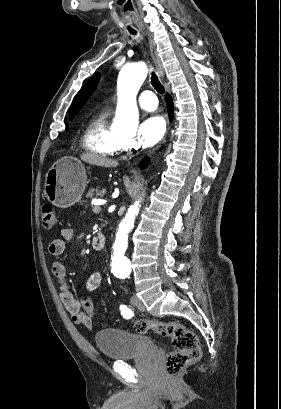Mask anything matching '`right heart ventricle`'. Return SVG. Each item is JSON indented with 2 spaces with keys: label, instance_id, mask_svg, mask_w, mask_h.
<instances>
[{
  "label": "right heart ventricle",
  "instance_id": "1",
  "mask_svg": "<svg viewBox=\"0 0 281 409\" xmlns=\"http://www.w3.org/2000/svg\"><path fill=\"white\" fill-rule=\"evenodd\" d=\"M86 137L89 151L97 157L112 156L122 148L117 133L108 123V114L106 112L96 115L90 121Z\"/></svg>",
  "mask_w": 281,
  "mask_h": 409
}]
</instances>
